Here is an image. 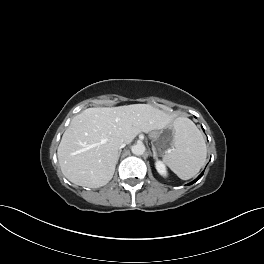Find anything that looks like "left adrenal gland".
I'll list each match as a JSON object with an SVG mask.
<instances>
[{
	"label": "left adrenal gland",
	"instance_id": "left-adrenal-gland-1",
	"mask_svg": "<svg viewBox=\"0 0 264 264\" xmlns=\"http://www.w3.org/2000/svg\"><path fill=\"white\" fill-rule=\"evenodd\" d=\"M152 151H153V158L157 159V153H156V149H155L154 145H152Z\"/></svg>",
	"mask_w": 264,
	"mask_h": 264
}]
</instances>
